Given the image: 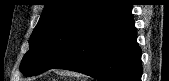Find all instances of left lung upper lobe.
Returning a JSON list of instances; mask_svg holds the SVG:
<instances>
[{"instance_id": "1", "label": "left lung upper lobe", "mask_w": 169, "mask_h": 81, "mask_svg": "<svg viewBox=\"0 0 169 81\" xmlns=\"http://www.w3.org/2000/svg\"><path fill=\"white\" fill-rule=\"evenodd\" d=\"M117 0H50L29 39L20 71L24 76L39 75L53 68L92 21Z\"/></svg>"}]
</instances>
